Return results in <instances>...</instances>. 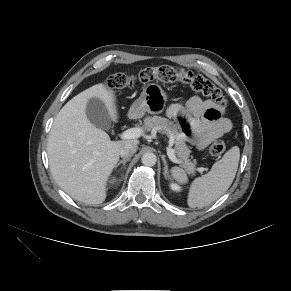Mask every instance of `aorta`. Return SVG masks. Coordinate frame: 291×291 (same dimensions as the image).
<instances>
[{
  "mask_svg": "<svg viewBox=\"0 0 291 291\" xmlns=\"http://www.w3.org/2000/svg\"><path fill=\"white\" fill-rule=\"evenodd\" d=\"M142 164L145 166H154L156 164L157 158L154 153H145L141 158Z\"/></svg>",
  "mask_w": 291,
  "mask_h": 291,
  "instance_id": "aorta-1",
  "label": "aorta"
}]
</instances>
